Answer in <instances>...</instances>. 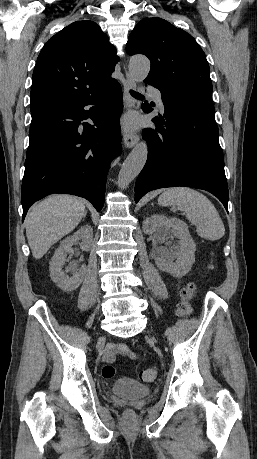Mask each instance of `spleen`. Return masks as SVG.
Listing matches in <instances>:
<instances>
[{"mask_svg": "<svg viewBox=\"0 0 257 459\" xmlns=\"http://www.w3.org/2000/svg\"><path fill=\"white\" fill-rule=\"evenodd\" d=\"M164 206H174L186 214V218L195 224L197 234L215 241L225 234L221 217L212 202L202 193L187 187H175L165 190L158 199Z\"/></svg>", "mask_w": 257, "mask_h": 459, "instance_id": "1", "label": "spleen"}]
</instances>
